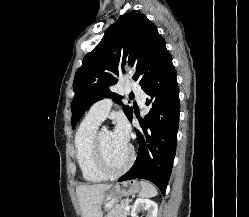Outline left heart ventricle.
<instances>
[{"mask_svg":"<svg viewBox=\"0 0 249 217\" xmlns=\"http://www.w3.org/2000/svg\"><path fill=\"white\" fill-rule=\"evenodd\" d=\"M101 140L109 165L114 169L120 168L127 160L128 145L121 144L109 130L102 131Z\"/></svg>","mask_w":249,"mask_h":217,"instance_id":"left-heart-ventricle-1","label":"left heart ventricle"}]
</instances>
